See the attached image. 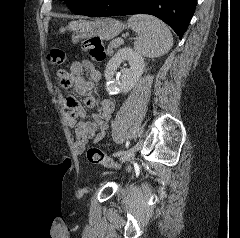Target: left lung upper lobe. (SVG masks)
I'll return each instance as SVG.
<instances>
[{
	"label": "left lung upper lobe",
	"mask_w": 240,
	"mask_h": 238,
	"mask_svg": "<svg viewBox=\"0 0 240 238\" xmlns=\"http://www.w3.org/2000/svg\"><path fill=\"white\" fill-rule=\"evenodd\" d=\"M94 0H65L67 6L77 13L88 7Z\"/></svg>",
	"instance_id": "left-lung-upper-lobe-1"
}]
</instances>
